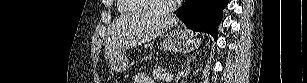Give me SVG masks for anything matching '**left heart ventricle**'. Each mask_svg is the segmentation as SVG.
<instances>
[{"instance_id": "obj_1", "label": "left heart ventricle", "mask_w": 307, "mask_h": 83, "mask_svg": "<svg viewBox=\"0 0 307 83\" xmlns=\"http://www.w3.org/2000/svg\"><path fill=\"white\" fill-rule=\"evenodd\" d=\"M172 0H161V1H158L159 5L160 6H165L167 5L168 3H170Z\"/></svg>"}]
</instances>
